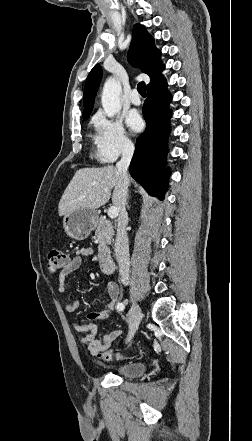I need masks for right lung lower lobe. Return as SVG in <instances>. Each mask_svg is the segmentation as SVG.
<instances>
[{"mask_svg":"<svg viewBox=\"0 0 252 441\" xmlns=\"http://www.w3.org/2000/svg\"><path fill=\"white\" fill-rule=\"evenodd\" d=\"M167 83L160 77L147 87V100L143 105L146 130L137 138L135 153L130 164L131 176L149 194L164 199L168 188L170 170L166 163L167 138L170 111H166L171 96L167 95Z\"/></svg>","mask_w":252,"mask_h":441,"instance_id":"1","label":"right lung lower lobe"}]
</instances>
